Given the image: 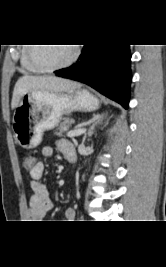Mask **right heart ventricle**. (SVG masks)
I'll return each instance as SVG.
<instances>
[{"instance_id": "1", "label": "right heart ventricle", "mask_w": 166, "mask_h": 267, "mask_svg": "<svg viewBox=\"0 0 166 267\" xmlns=\"http://www.w3.org/2000/svg\"><path fill=\"white\" fill-rule=\"evenodd\" d=\"M20 64L22 68L29 73H41L42 71L35 67L29 59V46H23L20 53Z\"/></svg>"}]
</instances>
